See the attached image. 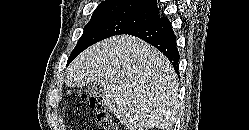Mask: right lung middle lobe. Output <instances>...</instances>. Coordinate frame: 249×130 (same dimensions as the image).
Instances as JSON below:
<instances>
[{"mask_svg":"<svg viewBox=\"0 0 249 130\" xmlns=\"http://www.w3.org/2000/svg\"><path fill=\"white\" fill-rule=\"evenodd\" d=\"M159 17L157 12L132 6L99 5L90 22L85 26L82 36L68 59V64L94 43L114 35L125 34Z\"/></svg>","mask_w":249,"mask_h":130,"instance_id":"obj_1","label":"right lung middle lobe"}]
</instances>
